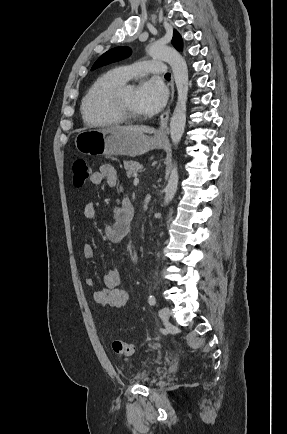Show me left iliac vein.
<instances>
[{
  "instance_id": "obj_1",
  "label": "left iliac vein",
  "mask_w": 287,
  "mask_h": 434,
  "mask_svg": "<svg viewBox=\"0 0 287 434\" xmlns=\"http://www.w3.org/2000/svg\"><path fill=\"white\" fill-rule=\"evenodd\" d=\"M159 317L161 318V320L166 323L169 320L170 317V310L167 307H162L159 310Z\"/></svg>"
}]
</instances>
